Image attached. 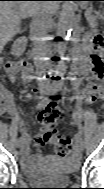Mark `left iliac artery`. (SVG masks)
I'll return each instance as SVG.
<instances>
[{"label":"left iliac artery","instance_id":"obj_1","mask_svg":"<svg viewBox=\"0 0 104 189\" xmlns=\"http://www.w3.org/2000/svg\"><path fill=\"white\" fill-rule=\"evenodd\" d=\"M73 119H75L77 121V124L79 123V113L78 112H74L73 113ZM75 136H78V139L80 142H83V133H81L80 128H77Z\"/></svg>","mask_w":104,"mask_h":189}]
</instances>
